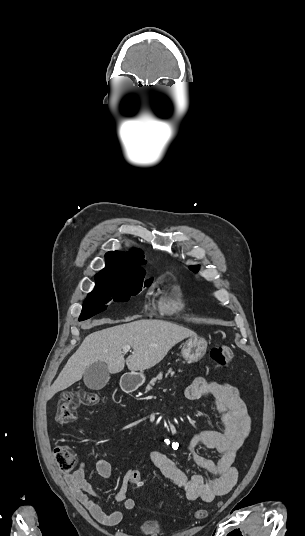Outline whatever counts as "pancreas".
Wrapping results in <instances>:
<instances>
[{
  "instance_id": "cf45deb5",
  "label": "pancreas",
  "mask_w": 305,
  "mask_h": 536,
  "mask_svg": "<svg viewBox=\"0 0 305 536\" xmlns=\"http://www.w3.org/2000/svg\"><path fill=\"white\" fill-rule=\"evenodd\" d=\"M179 372H181V370H179ZM169 374H171V376H174L175 372H172V370H168L167 374H165V378H167ZM162 378H163L162 372H160L159 376H156V378H152L151 382H149L148 386H146V392H149V390H152V386H154L155 382H157V380H162Z\"/></svg>"
}]
</instances>
